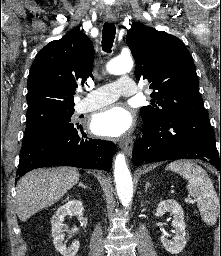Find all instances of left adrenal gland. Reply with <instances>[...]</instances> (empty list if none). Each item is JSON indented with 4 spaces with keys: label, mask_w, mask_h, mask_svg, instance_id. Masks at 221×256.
I'll list each match as a JSON object with an SVG mask.
<instances>
[{
    "label": "left adrenal gland",
    "mask_w": 221,
    "mask_h": 256,
    "mask_svg": "<svg viewBox=\"0 0 221 256\" xmlns=\"http://www.w3.org/2000/svg\"><path fill=\"white\" fill-rule=\"evenodd\" d=\"M151 187V184L150 182H146V185H145V192H147L148 188Z\"/></svg>",
    "instance_id": "left-adrenal-gland-1"
}]
</instances>
